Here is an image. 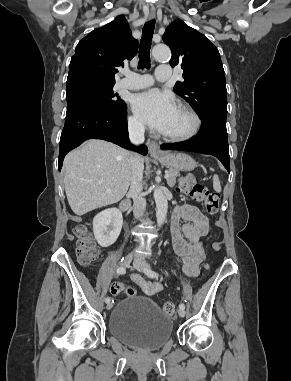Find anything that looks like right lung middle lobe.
<instances>
[{"label": "right lung middle lobe", "mask_w": 291, "mask_h": 381, "mask_svg": "<svg viewBox=\"0 0 291 381\" xmlns=\"http://www.w3.org/2000/svg\"><path fill=\"white\" fill-rule=\"evenodd\" d=\"M114 83H102L83 77L67 79L66 90H79L99 101L107 110H118L126 106L117 93L113 92ZM66 91V92H67Z\"/></svg>", "instance_id": "obj_1"}]
</instances>
